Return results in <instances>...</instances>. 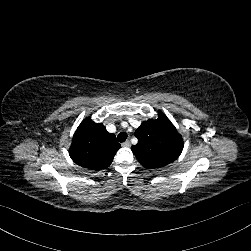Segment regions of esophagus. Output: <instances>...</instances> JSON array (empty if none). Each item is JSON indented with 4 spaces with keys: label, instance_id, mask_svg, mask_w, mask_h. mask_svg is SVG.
<instances>
[{
    "label": "esophagus",
    "instance_id": "1",
    "mask_svg": "<svg viewBox=\"0 0 251 251\" xmlns=\"http://www.w3.org/2000/svg\"><path fill=\"white\" fill-rule=\"evenodd\" d=\"M122 146H123V147H129V146H130V141L127 140V141L123 142V143H122Z\"/></svg>",
    "mask_w": 251,
    "mask_h": 251
}]
</instances>
